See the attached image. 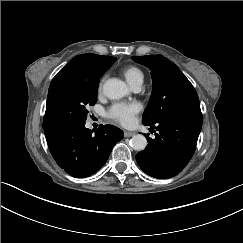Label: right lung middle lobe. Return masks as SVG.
I'll list each match as a JSON object with an SVG mask.
<instances>
[{
	"label": "right lung middle lobe",
	"instance_id": "right-lung-middle-lobe-1",
	"mask_svg": "<svg viewBox=\"0 0 243 243\" xmlns=\"http://www.w3.org/2000/svg\"><path fill=\"white\" fill-rule=\"evenodd\" d=\"M98 78L69 76L49 87L43 128L66 121H85L97 100Z\"/></svg>",
	"mask_w": 243,
	"mask_h": 243
}]
</instances>
